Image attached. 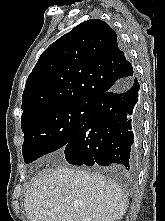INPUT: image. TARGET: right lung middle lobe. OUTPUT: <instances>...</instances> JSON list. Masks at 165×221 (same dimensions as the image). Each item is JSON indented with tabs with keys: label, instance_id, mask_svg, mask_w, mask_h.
<instances>
[{
	"label": "right lung middle lobe",
	"instance_id": "obj_1",
	"mask_svg": "<svg viewBox=\"0 0 165 221\" xmlns=\"http://www.w3.org/2000/svg\"><path fill=\"white\" fill-rule=\"evenodd\" d=\"M89 115L90 104H75L48 109L22 121L24 162L64 148Z\"/></svg>",
	"mask_w": 165,
	"mask_h": 221
}]
</instances>
